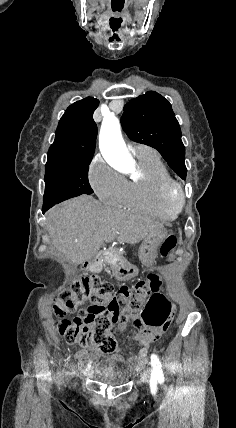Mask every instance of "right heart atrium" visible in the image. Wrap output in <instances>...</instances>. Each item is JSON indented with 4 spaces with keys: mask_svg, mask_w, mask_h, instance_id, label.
Segmentation results:
<instances>
[{
    "mask_svg": "<svg viewBox=\"0 0 236 428\" xmlns=\"http://www.w3.org/2000/svg\"><path fill=\"white\" fill-rule=\"evenodd\" d=\"M89 184L104 206H120L123 202L126 182L101 156L93 158L88 170Z\"/></svg>",
    "mask_w": 236,
    "mask_h": 428,
    "instance_id": "d8ad5b80",
    "label": "right heart atrium"
}]
</instances>
